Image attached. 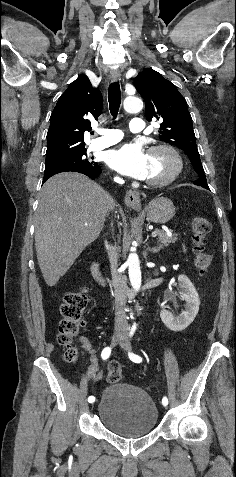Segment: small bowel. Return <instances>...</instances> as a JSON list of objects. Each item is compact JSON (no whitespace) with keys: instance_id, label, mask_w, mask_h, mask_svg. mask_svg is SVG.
Masks as SVG:
<instances>
[{"instance_id":"small-bowel-1","label":"small bowel","mask_w":236,"mask_h":477,"mask_svg":"<svg viewBox=\"0 0 236 477\" xmlns=\"http://www.w3.org/2000/svg\"><path fill=\"white\" fill-rule=\"evenodd\" d=\"M82 345L90 355V365L87 370L88 377L92 380L101 379L103 374L98 371V359L91 343L87 339H82Z\"/></svg>"}]
</instances>
